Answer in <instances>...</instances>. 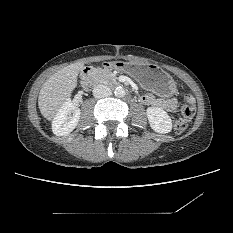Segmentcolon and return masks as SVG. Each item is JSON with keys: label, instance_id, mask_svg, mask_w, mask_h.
I'll use <instances>...</instances> for the list:
<instances>
[{"label": "colon", "instance_id": "5ec220e1", "mask_svg": "<svg viewBox=\"0 0 233 233\" xmlns=\"http://www.w3.org/2000/svg\"><path fill=\"white\" fill-rule=\"evenodd\" d=\"M195 114V98L192 94H187L184 97V103L180 109V115L175 120V131L181 134L187 128L188 122Z\"/></svg>", "mask_w": 233, "mask_h": 233}]
</instances>
